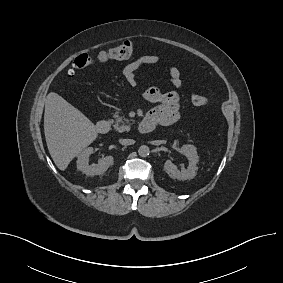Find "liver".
<instances>
[{"instance_id": "liver-1", "label": "liver", "mask_w": 283, "mask_h": 283, "mask_svg": "<svg viewBox=\"0 0 283 283\" xmlns=\"http://www.w3.org/2000/svg\"><path fill=\"white\" fill-rule=\"evenodd\" d=\"M44 133L49 153L60 170L97 138L95 125L54 92L45 101Z\"/></svg>"}]
</instances>
